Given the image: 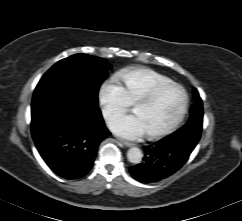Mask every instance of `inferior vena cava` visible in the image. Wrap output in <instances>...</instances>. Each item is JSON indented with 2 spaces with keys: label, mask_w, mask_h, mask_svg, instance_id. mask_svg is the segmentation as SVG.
<instances>
[{
  "label": "inferior vena cava",
  "mask_w": 242,
  "mask_h": 221,
  "mask_svg": "<svg viewBox=\"0 0 242 221\" xmlns=\"http://www.w3.org/2000/svg\"><path fill=\"white\" fill-rule=\"evenodd\" d=\"M103 115H104L105 118H108L111 115V111L109 109H104Z\"/></svg>",
  "instance_id": "obj_1"
}]
</instances>
